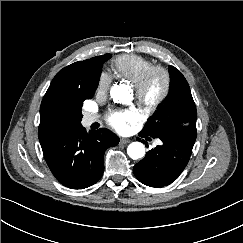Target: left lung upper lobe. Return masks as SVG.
I'll return each mask as SVG.
<instances>
[{
    "label": "left lung upper lobe",
    "mask_w": 243,
    "mask_h": 243,
    "mask_svg": "<svg viewBox=\"0 0 243 243\" xmlns=\"http://www.w3.org/2000/svg\"><path fill=\"white\" fill-rule=\"evenodd\" d=\"M171 86L165 104L145 124L141 133L153 138L173 137L194 146L196 130V107L190 87L175 67H169Z\"/></svg>",
    "instance_id": "1"
}]
</instances>
